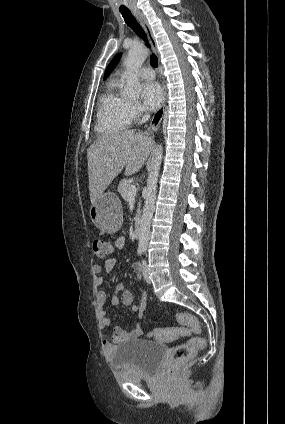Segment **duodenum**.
Here are the masks:
<instances>
[{"label":"duodenum","mask_w":285,"mask_h":424,"mask_svg":"<svg viewBox=\"0 0 285 424\" xmlns=\"http://www.w3.org/2000/svg\"><path fill=\"white\" fill-rule=\"evenodd\" d=\"M133 234L135 239H139L141 237V226L139 223L135 226Z\"/></svg>","instance_id":"obj_1"}]
</instances>
